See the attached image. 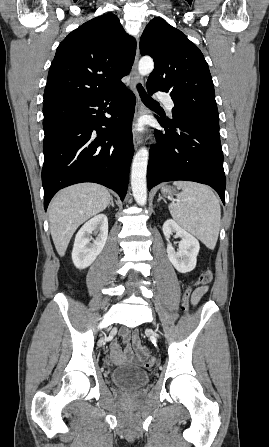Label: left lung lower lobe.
<instances>
[{
  "label": "left lung lower lobe",
  "instance_id": "obj_1",
  "mask_svg": "<svg viewBox=\"0 0 269 447\" xmlns=\"http://www.w3.org/2000/svg\"><path fill=\"white\" fill-rule=\"evenodd\" d=\"M148 92L154 93L149 89ZM157 119L165 134L155 130L158 143L150 147L148 190L165 181H194L215 189L225 205L226 178L219 129L175 116Z\"/></svg>",
  "mask_w": 269,
  "mask_h": 447
}]
</instances>
